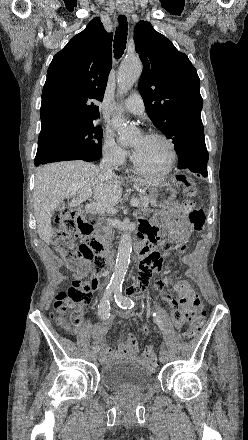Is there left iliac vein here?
<instances>
[{
  "label": "left iliac vein",
  "mask_w": 248,
  "mask_h": 440,
  "mask_svg": "<svg viewBox=\"0 0 248 440\" xmlns=\"http://www.w3.org/2000/svg\"><path fill=\"white\" fill-rule=\"evenodd\" d=\"M169 360V356L166 350H162V352L160 353V361L162 363H166Z\"/></svg>",
  "instance_id": "left-iliac-vein-1"
}]
</instances>
